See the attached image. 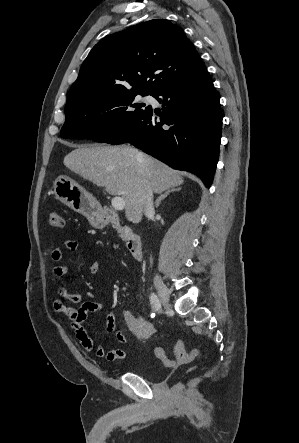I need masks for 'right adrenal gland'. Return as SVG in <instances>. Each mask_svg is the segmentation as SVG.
<instances>
[{"label":"right adrenal gland","instance_id":"1","mask_svg":"<svg viewBox=\"0 0 299 443\" xmlns=\"http://www.w3.org/2000/svg\"><path fill=\"white\" fill-rule=\"evenodd\" d=\"M179 190H181V188L171 189V190L166 191L164 194H161V195L157 198V200L155 201V208H158L159 205H160V203H161V201L164 200L165 198H167V196H168L170 193H172V192H176V191H179Z\"/></svg>","mask_w":299,"mask_h":443}]
</instances>
